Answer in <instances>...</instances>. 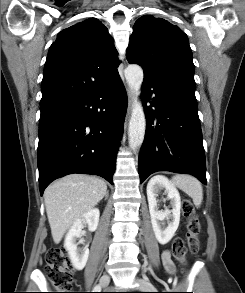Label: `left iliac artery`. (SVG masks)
<instances>
[{
	"label": "left iliac artery",
	"mask_w": 245,
	"mask_h": 293,
	"mask_svg": "<svg viewBox=\"0 0 245 293\" xmlns=\"http://www.w3.org/2000/svg\"><path fill=\"white\" fill-rule=\"evenodd\" d=\"M147 290H152L151 288H148Z\"/></svg>",
	"instance_id": "obj_1"
}]
</instances>
